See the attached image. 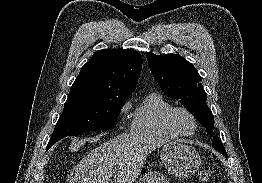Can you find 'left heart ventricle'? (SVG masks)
Masks as SVG:
<instances>
[{
    "mask_svg": "<svg viewBox=\"0 0 262 183\" xmlns=\"http://www.w3.org/2000/svg\"><path fill=\"white\" fill-rule=\"evenodd\" d=\"M176 121L179 127L183 131L192 132L194 130V127H195L194 122L191 119V117H189L187 114L179 113L176 117Z\"/></svg>",
    "mask_w": 262,
    "mask_h": 183,
    "instance_id": "left-heart-ventricle-1",
    "label": "left heart ventricle"
}]
</instances>
